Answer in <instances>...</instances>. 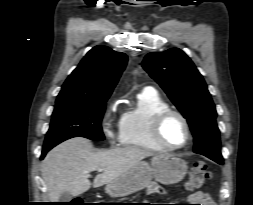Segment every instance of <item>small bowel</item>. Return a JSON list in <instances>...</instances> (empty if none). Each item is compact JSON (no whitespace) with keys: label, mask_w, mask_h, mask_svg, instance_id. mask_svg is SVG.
Wrapping results in <instances>:
<instances>
[{"label":"small bowel","mask_w":253,"mask_h":205,"mask_svg":"<svg viewBox=\"0 0 253 205\" xmlns=\"http://www.w3.org/2000/svg\"><path fill=\"white\" fill-rule=\"evenodd\" d=\"M163 189L156 183H152L148 187V193H162ZM188 200L191 203H195L192 205H214L211 198L204 192L197 191L188 196Z\"/></svg>","instance_id":"obj_1"}]
</instances>
